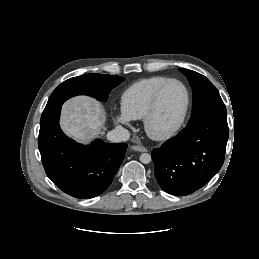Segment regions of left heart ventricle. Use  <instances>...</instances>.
<instances>
[{"label": "left heart ventricle", "instance_id": "b2bd125f", "mask_svg": "<svg viewBox=\"0 0 259 259\" xmlns=\"http://www.w3.org/2000/svg\"><path fill=\"white\" fill-rule=\"evenodd\" d=\"M186 104V93L178 83L169 84L162 92L158 110L152 120V128L163 132L173 127L180 119Z\"/></svg>", "mask_w": 259, "mask_h": 259}]
</instances>
